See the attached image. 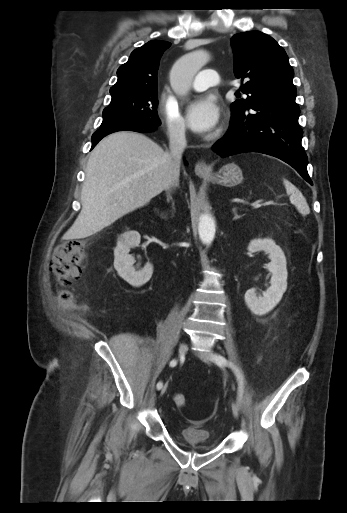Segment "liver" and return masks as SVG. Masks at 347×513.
<instances>
[{
	"instance_id": "1",
	"label": "liver",
	"mask_w": 347,
	"mask_h": 513,
	"mask_svg": "<svg viewBox=\"0 0 347 513\" xmlns=\"http://www.w3.org/2000/svg\"><path fill=\"white\" fill-rule=\"evenodd\" d=\"M81 192L82 209L66 239L91 236L145 206L169 186L179 185L168 153L137 132L119 131L92 150Z\"/></svg>"
}]
</instances>
